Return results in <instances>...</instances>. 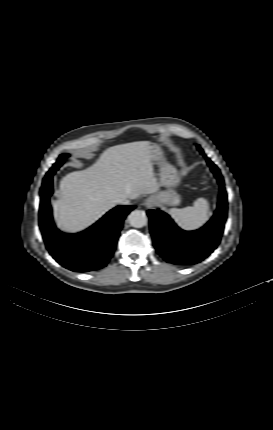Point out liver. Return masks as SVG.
<instances>
[{"label": "liver", "mask_w": 273, "mask_h": 430, "mask_svg": "<svg viewBox=\"0 0 273 430\" xmlns=\"http://www.w3.org/2000/svg\"><path fill=\"white\" fill-rule=\"evenodd\" d=\"M151 143L137 141L106 149L90 167L66 175L52 201L57 227L78 233L107 213L120 198L135 199L161 186L151 160Z\"/></svg>", "instance_id": "6515ba94"}]
</instances>
